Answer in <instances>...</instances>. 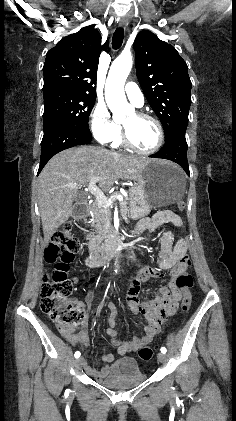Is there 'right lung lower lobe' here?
<instances>
[{"instance_id": "1", "label": "right lung lower lobe", "mask_w": 236, "mask_h": 421, "mask_svg": "<svg viewBox=\"0 0 236 421\" xmlns=\"http://www.w3.org/2000/svg\"><path fill=\"white\" fill-rule=\"evenodd\" d=\"M92 140L86 135L69 128L58 127L44 134L41 142V157L38 173L56 153L77 145L87 144Z\"/></svg>"}]
</instances>
